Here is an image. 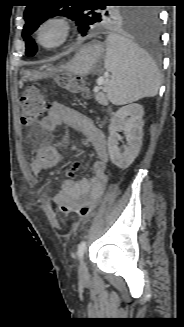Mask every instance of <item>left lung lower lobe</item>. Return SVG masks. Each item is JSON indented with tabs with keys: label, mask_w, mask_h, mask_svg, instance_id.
Segmentation results:
<instances>
[{
	"label": "left lung lower lobe",
	"mask_w": 184,
	"mask_h": 327,
	"mask_svg": "<svg viewBox=\"0 0 184 327\" xmlns=\"http://www.w3.org/2000/svg\"><path fill=\"white\" fill-rule=\"evenodd\" d=\"M143 11L140 22L135 26L136 41L143 51L156 56L160 50L159 16L151 8H145Z\"/></svg>",
	"instance_id": "0a47b994"
}]
</instances>
